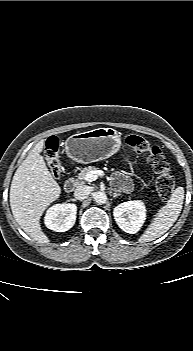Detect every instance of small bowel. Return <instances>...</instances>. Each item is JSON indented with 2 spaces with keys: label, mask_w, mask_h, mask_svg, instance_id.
Here are the masks:
<instances>
[{
  "label": "small bowel",
  "mask_w": 193,
  "mask_h": 351,
  "mask_svg": "<svg viewBox=\"0 0 193 351\" xmlns=\"http://www.w3.org/2000/svg\"><path fill=\"white\" fill-rule=\"evenodd\" d=\"M112 183L115 187L121 188L123 190H128L130 188V183L124 174L116 172L112 176Z\"/></svg>",
  "instance_id": "obj_1"
}]
</instances>
